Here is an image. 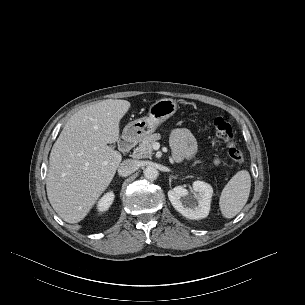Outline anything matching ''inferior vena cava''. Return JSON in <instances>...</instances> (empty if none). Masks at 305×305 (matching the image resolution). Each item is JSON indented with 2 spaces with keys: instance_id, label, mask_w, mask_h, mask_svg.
<instances>
[{
  "instance_id": "1",
  "label": "inferior vena cava",
  "mask_w": 305,
  "mask_h": 305,
  "mask_svg": "<svg viewBox=\"0 0 305 305\" xmlns=\"http://www.w3.org/2000/svg\"><path fill=\"white\" fill-rule=\"evenodd\" d=\"M138 169L137 161L128 159L124 160L118 168V175L122 177H126Z\"/></svg>"
}]
</instances>
